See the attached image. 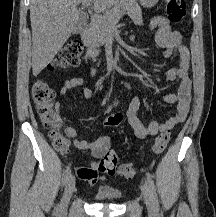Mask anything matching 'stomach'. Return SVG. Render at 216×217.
<instances>
[{
	"instance_id": "0dacf381",
	"label": "stomach",
	"mask_w": 216,
	"mask_h": 217,
	"mask_svg": "<svg viewBox=\"0 0 216 217\" xmlns=\"http://www.w3.org/2000/svg\"><path fill=\"white\" fill-rule=\"evenodd\" d=\"M159 0H139L142 7L151 8L154 7Z\"/></svg>"
}]
</instances>
